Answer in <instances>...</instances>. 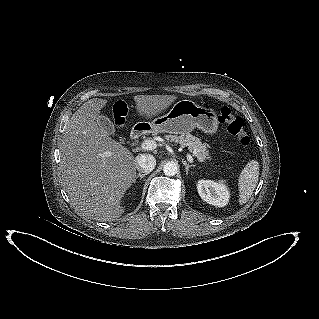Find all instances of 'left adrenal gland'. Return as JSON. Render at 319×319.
<instances>
[{
  "instance_id": "obj_1",
  "label": "left adrenal gland",
  "mask_w": 319,
  "mask_h": 319,
  "mask_svg": "<svg viewBox=\"0 0 319 319\" xmlns=\"http://www.w3.org/2000/svg\"><path fill=\"white\" fill-rule=\"evenodd\" d=\"M182 163L185 166L186 175L188 176L189 169L195 167V165H189L186 161H182Z\"/></svg>"
}]
</instances>
